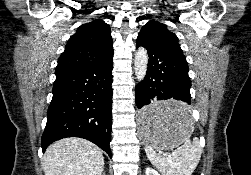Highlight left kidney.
Instances as JSON below:
<instances>
[{"label": "left kidney", "instance_id": "5707ae66", "mask_svg": "<svg viewBox=\"0 0 251 175\" xmlns=\"http://www.w3.org/2000/svg\"><path fill=\"white\" fill-rule=\"evenodd\" d=\"M146 175H160L156 169H153V167H146L145 171Z\"/></svg>", "mask_w": 251, "mask_h": 175}]
</instances>
